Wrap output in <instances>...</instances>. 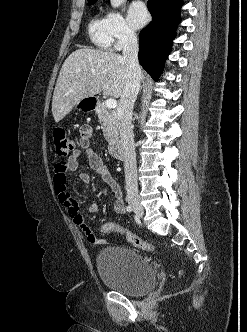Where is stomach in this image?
I'll use <instances>...</instances> for the list:
<instances>
[{"label": "stomach", "instance_id": "obj_1", "mask_svg": "<svg viewBox=\"0 0 247 332\" xmlns=\"http://www.w3.org/2000/svg\"><path fill=\"white\" fill-rule=\"evenodd\" d=\"M75 108L79 110L93 109L92 99H90V97L81 99L76 103Z\"/></svg>", "mask_w": 247, "mask_h": 332}]
</instances>
